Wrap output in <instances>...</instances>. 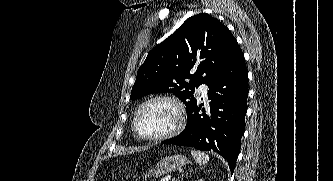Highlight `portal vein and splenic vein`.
I'll use <instances>...</instances> for the list:
<instances>
[{"mask_svg": "<svg viewBox=\"0 0 333 181\" xmlns=\"http://www.w3.org/2000/svg\"><path fill=\"white\" fill-rule=\"evenodd\" d=\"M164 181V180H163ZM170 181H176L175 178H171Z\"/></svg>", "mask_w": 333, "mask_h": 181, "instance_id": "obj_1", "label": "portal vein and splenic vein"}]
</instances>
